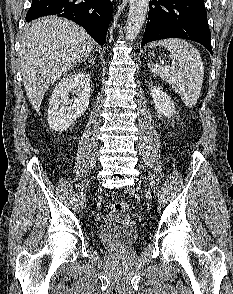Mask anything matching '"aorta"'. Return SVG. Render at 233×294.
Masks as SVG:
<instances>
[{
	"label": "aorta",
	"instance_id": "obj_1",
	"mask_svg": "<svg viewBox=\"0 0 233 294\" xmlns=\"http://www.w3.org/2000/svg\"><path fill=\"white\" fill-rule=\"evenodd\" d=\"M148 12V0H130L125 37L133 41L139 34Z\"/></svg>",
	"mask_w": 233,
	"mask_h": 294
}]
</instances>
